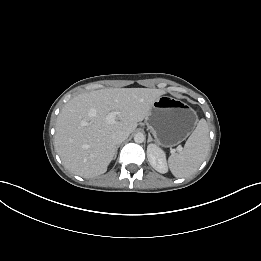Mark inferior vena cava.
<instances>
[{
  "instance_id": "602c4592",
  "label": "inferior vena cava",
  "mask_w": 261,
  "mask_h": 261,
  "mask_svg": "<svg viewBox=\"0 0 261 261\" xmlns=\"http://www.w3.org/2000/svg\"><path fill=\"white\" fill-rule=\"evenodd\" d=\"M129 134L124 131L115 132L112 135V141L115 145H119L128 138Z\"/></svg>"
}]
</instances>
